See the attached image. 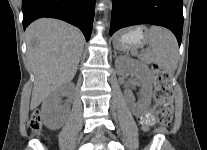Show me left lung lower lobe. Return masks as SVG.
<instances>
[{"mask_svg":"<svg viewBox=\"0 0 207 150\" xmlns=\"http://www.w3.org/2000/svg\"><path fill=\"white\" fill-rule=\"evenodd\" d=\"M110 36L123 27L153 24L170 29L180 46L183 30L182 0H113Z\"/></svg>","mask_w":207,"mask_h":150,"instance_id":"0a47b994","label":"left lung lower lobe"}]
</instances>
